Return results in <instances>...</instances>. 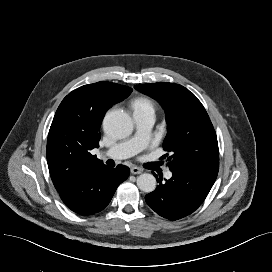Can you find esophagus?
Here are the masks:
<instances>
[{"label":"esophagus","instance_id":"esophagus-1","mask_svg":"<svg viewBox=\"0 0 272 272\" xmlns=\"http://www.w3.org/2000/svg\"><path fill=\"white\" fill-rule=\"evenodd\" d=\"M142 171L143 170L141 168L135 166L130 169L131 174H141Z\"/></svg>","mask_w":272,"mask_h":272}]
</instances>
